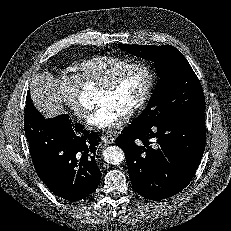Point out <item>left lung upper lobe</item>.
<instances>
[{
  "label": "left lung upper lobe",
  "instance_id": "obj_1",
  "mask_svg": "<svg viewBox=\"0 0 231 231\" xmlns=\"http://www.w3.org/2000/svg\"><path fill=\"white\" fill-rule=\"evenodd\" d=\"M120 47L138 57L152 60L160 80L146 108L133 125L165 124L184 116L205 112L204 93L184 55L172 45H127Z\"/></svg>",
  "mask_w": 231,
  "mask_h": 231
}]
</instances>
